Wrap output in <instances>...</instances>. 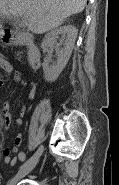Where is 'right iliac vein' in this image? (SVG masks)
Returning a JSON list of instances; mask_svg holds the SVG:
<instances>
[{
	"label": "right iliac vein",
	"instance_id": "obj_1",
	"mask_svg": "<svg viewBox=\"0 0 119 185\" xmlns=\"http://www.w3.org/2000/svg\"><path fill=\"white\" fill-rule=\"evenodd\" d=\"M42 154V152H41ZM37 156L34 160H32L31 162L27 163L26 165H24L19 171L18 173L10 180L8 185H16V183L22 179L24 176H26L30 171L33 170V168L37 165L40 156Z\"/></svg>",
	"mask_w": 119,
	"mask_h": 185
}]
</instances>
